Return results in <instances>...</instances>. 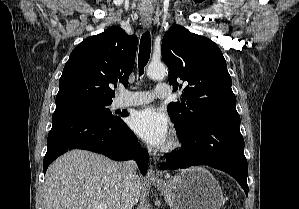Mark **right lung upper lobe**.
I'll list each match as a JSON object with an SVG mask.
<instances>
[{
  "mask_svg": "<svg viewBox=\"0 0 299 209\" xmlns=\"http://www.w3.org/2000/svg\"><path fill=\"white\" fill-rule=\"evenodd\" d=\"M137 37L113 26L88 37L71 52L59 81L56 105L72 102H112L116 82L128 85Z\"/></svg>",
  "mask_w": 299,
  "mask_h": 209,
  "instance_id": "obj_1",
  "label": "right lung upper lobe"
}]
</instances>
